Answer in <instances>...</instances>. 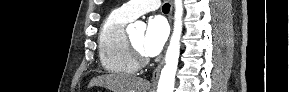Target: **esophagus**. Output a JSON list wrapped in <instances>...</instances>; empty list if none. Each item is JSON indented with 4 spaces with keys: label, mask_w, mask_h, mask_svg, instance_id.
Masks as SVG:
<instances>
[{
    "label": "esophagus",
    "mask_w": 289,
    "mask_h": 92,
    "mask_svg": "<svg viewBox=\"0 0 289 92\" xmlns=\"http://www.w3.org/2000/svg\"><path fill=\"white\" fill-rule=\"evenodd\" d=\"M172 8L173 6L171 5V13H170V17H169V21L172 22ZM163 61H161L158 66L155 68L154 72H153V76H152V84L153 87H156L157 82H158V78H159V73L162 67Z\"/></svg>",
    "instance_id": "obj_1"
}]
</instances>
